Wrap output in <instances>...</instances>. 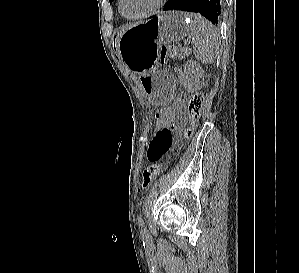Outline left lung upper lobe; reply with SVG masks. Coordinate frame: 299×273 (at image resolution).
Here are the masks:
<instances>
[{
  "label": "left lung upper lobe",
  "mask_w": 299,
  "mask_h": 273,
  "mask_svg": "<svg viewBox=\"0 0 299 273\" xmlns=\"http://www.w3.org/2000/svg\"><path fill=\"white\" fill-rule=\"evenodd\" d=\"M114 0H109L110 3H112Z\"/></svg>",
  "instance_id": "left-lung-upper-lobe-1"
}]
</instances>
